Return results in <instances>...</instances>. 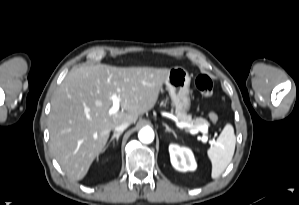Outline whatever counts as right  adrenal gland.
<instances>
[{
	"label": "right adrenal gland",
	"mask_w": 299,
	"mask_h": 205,
	"mask_svg": "<svg viewBox=\"0 0 299 205\" xmlns=\"http://www.w3.org/2000/svg\"><path fill=\"white\" fill-rule=\"evenodd\" d=\"M121 134H122V132L114 133L113 136L111 137V139L109 140V143H111L114 139H116V142H118Z\"/></svg>",
	"instance_id": "2a0ac1e0"
}]
</instances>
